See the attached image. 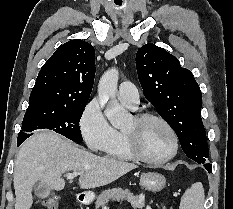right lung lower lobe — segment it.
I'll return each mask as SVG.
<instances>
[{
    "mask_svg": "<svg viewBox=\"0 0 233 209\" xmlns=\"http://www.w3.org/2000/svg\"><path fill=\"white\" fill-rule=\"evenodd\" d=\"M23 141L18 140L17 145L19 146Z\"/></svg>",
    "mask_w": 233,
    "mask_h": 209,
    "instance_id": "1",
    "label": "right lung lower lobe"
}]
</instances>
